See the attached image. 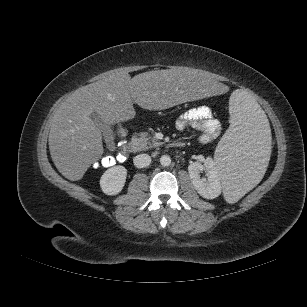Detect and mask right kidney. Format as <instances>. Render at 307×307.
Here are the masks:
<instances>
[{
	"label": "right kidney",
	"mask_w": 307,
	"mask_h": 307,
	"mask_svg": "<svg viewBox=\"0 0 307 307\" xmlns=\"http://www.w3.org/2000/svg\"><path fill=\"white\" fill-rule=\"evenodd\" d=\"M127 169L117 165L106 170L100 179V187L106 195H116L120 193L125 185Z\"/></svg>",
	"instance_id": "obj_1"
}]
</instances>
